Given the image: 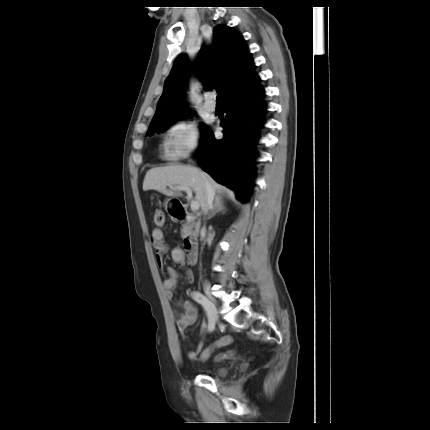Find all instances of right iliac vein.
<instances>
[{
    "label": "right iliac vein",
    "mask_w": 430,
    "mask_h": 430,
    "mask_svg": "<svg viewBox=\"0 0 430 430\" xmlns=\"http://www.w3.org/2000/svg\"><path fill=\"white\" fill-rule=\"evenodd\" d=\"M204 292L209 298V302H210L209 309H210L211 315H212L214 321H217L218 311H217V307L215 305L214 297L212 295L211 286L208 282L204 283Z\"/></svg>",
    "instance_id": "right-iliac-vein-1"
}]
</instances>
